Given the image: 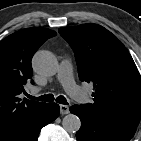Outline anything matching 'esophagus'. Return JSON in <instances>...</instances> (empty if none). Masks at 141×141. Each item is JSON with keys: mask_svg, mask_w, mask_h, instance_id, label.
<instances>
[{"mask_svg": "<svg viewBox=\"0 0 141 141\" xmlns=\"http://www.w3.org/2000/svg\"><path fill=\"white\" fill-rule=\"evenodd\" d=\"M69 112H70L69 107L67 105L63 104L60 105V114L65 115L68 114Z\"/></svg>", "mask_w": 141, "mask_h": 141, "instance_id": "34e87169", "label": "esophagus"}]
</instances>
